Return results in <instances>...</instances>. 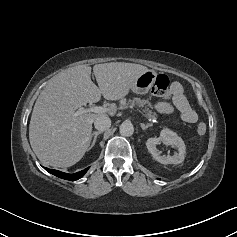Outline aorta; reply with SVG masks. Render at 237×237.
<instances>
[{"instance_id": "obj_1", "label": "aorta", "mask_w": 237, "mask_h": 237, "mask_svg": "<svg viewBox=\"0 0 237 237\" xmlns=\"http://www.w3.org/2000/svg\"><path fill=\"white\" fill-rule=\"evenodd\" d=\"M120 134L122 136L128 137L131 136L134 132V127L131 122L124 121L119 128Z\"/></svg>"}]
</instances>
